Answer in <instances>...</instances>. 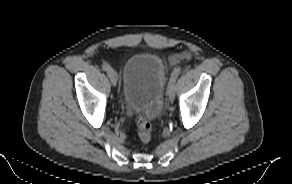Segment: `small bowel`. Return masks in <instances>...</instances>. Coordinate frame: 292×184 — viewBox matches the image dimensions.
Wrapping results in <instances>:
<instances>
[{"label":"small bowel","mask_w":292,"mask_h":184,"mask_svg":"<svg viewBox=\"0 0 292 184\" xmlns=\"http://www.w3.org/2000/svg\"><path fill=\"white\" fill-rule=\"evenodd\" d=\"M189 57L190 56H189L188 53H181V54H178V55H175L174 57H172L171 61L173 63H177V62H180V61L188 60Z\"/></svg>","instance_id":"obj_1"}]
</instances>
